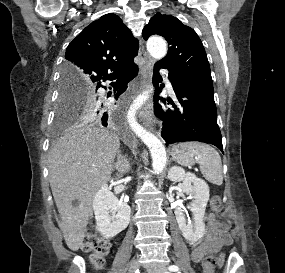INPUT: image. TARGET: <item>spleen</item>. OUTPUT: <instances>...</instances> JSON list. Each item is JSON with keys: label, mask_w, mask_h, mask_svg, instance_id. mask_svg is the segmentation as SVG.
I'll use <instances>...</instances> for the list:
<instances>
[{"label": "spleen", "mask_w": 285, "mask_h": 273, "mask_svg": "<svg viewBox=\"0 0 285 273\" xmlns=\"http://www.w3.org/2000/svg\"><path fill=\"white\" fill-rule=\"evenodd\" d=\"M172 155L183 166L198 162L207 181L216 185L223 183L221 157L211 146L199 142H183L173 147Z\"/></svg>", "instance_id": "spleen-1"}]
</instances>
